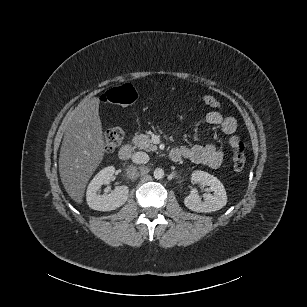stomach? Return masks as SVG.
<instances>
[{
	"label": "stomach",
	"mask_w": 307,
	"mask_h": 307,
	"mask_svg": "<svg viewBox=\"0 0 307 307\" xmlns=\"http://www.w3.org/2000/svg\"><path fill=\"white\" fill-rule=\"evenodd\" d=\"M182 104L181 103H176V104H174L173 105V107H172V110L173 111H176V112H180V111H182Z\"/></svg>",
	"instance_id": "1"
}]
</instances>
